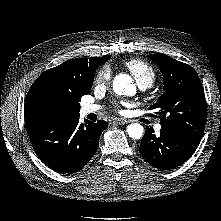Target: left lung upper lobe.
I'll use <instances>...</instances> for the list:
<instances>
[{
    "mask_svg": "<svg viewBox=\"0 0 221 221\" xmlns=\"http://www.w3.org/2000/svg\"><path fill=\"white\" fill-rule=\"evenodd\" d=\"M160 68L164 94L150 106L160 118L161 128L202 138L207 106L200 78L188 64L162 54L148 55Z\"/></svg>",
    "mask_w": 221,
    "mask_h": 221,
    "instance_id": "obj_1",
    "label": "left lung upper lobe"
}]
</instances>
